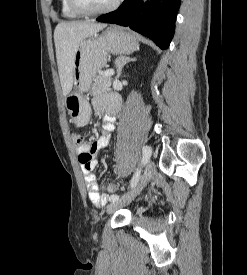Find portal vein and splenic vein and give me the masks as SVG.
<instances>
[{"mask_svg":"<svg viewBox=\"0 0 247 275\" xmlns=\"http://www.w3.org/2000/svg\"><path fill=\"white\" fill-rule=\"evenodd\" d=\"M114 70H112V69H108V70H106L105 72H104V76L105 77H111V76H113L114 75Z\"/></svg>","mask_w":247,"mask_h":275,"instance_id":"18ae733b","label":"portal vein and splenic vein"}]
</instances>
